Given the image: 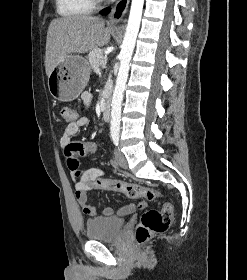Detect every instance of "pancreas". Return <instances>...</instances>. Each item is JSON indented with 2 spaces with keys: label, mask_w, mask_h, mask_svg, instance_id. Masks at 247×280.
Instances as JSON below:
<instances>
[{
  "label": "pancreas",
  "mask_w": 247,
  "mask_h": 280,
  "mask_svg": "<svg viewBox=\"0 0 247 280\" xmlns=\"http://www.w3.org/2000/svg\"><path fill=\"white\" fill-rule=\"evenodd\" d=\"M88 60L95 72L100 70L102 67V62H106V57L104 55V51L102 49L96 48L88 54Z\"/></svg>",
  "instance_id": "obj_1"
}]
</instances>
